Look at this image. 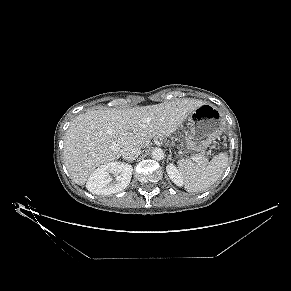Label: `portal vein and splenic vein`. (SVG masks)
Segmentation results:
<instances>
[{
    "label": "portal vein and splenic vein",
    "instance_id": "obj_1",
    "mask_svg": "<svg viewBox=\"0 0 291 291\" xmlns=\"http://www.w3.org/2000/svg\"><path fill=\"white\" fill-rule=\"evenodd\" d=\"M191 158H192V160L195 161V162H198V163H201V162H202V159H201V157H199V156H192Z\"/></svg>",
    "mask_w": 291,
    "mask_h": 291
}]
</instances>
